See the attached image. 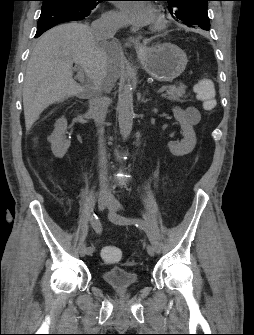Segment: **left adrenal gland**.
I'll return each mask as SVG.
<instances>
[{
	"label": "left adrenal gland",
	"mask_w": 254,
	"mask_h": 335,
	"mask_svg": "<svg viewBox=\"0 0 254 335\" xmlns=\"http://www.w3.org/2000/svg\"><path fill=\"white\" fill-rule=\"evenodd\" d=\"M143 101H144V102H146V101H147V99L145 100V99L143 98Z\"/></svg>",
	"instance_id": "a2214340"
}]
</instances>
